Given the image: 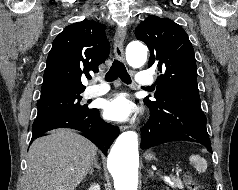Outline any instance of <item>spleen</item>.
Listing matches in <instances>:
<instances>
[{
    "mask_svg": "<svg viewBox=\"0 0 238 190\" xmlns=\"http://www.w3.org/2000/svg\"><path fill=\"white\" fill-rule=\"evenodd\" d=\"M190 161L195 165L198 173H204L207 169V161L199 155H192Z\"/></svg>",
    "mask_w": 238,
    "mask_h": 190,
    "instance_id": "spleen-1",
    "label": "spleen"
}]
</instances>
